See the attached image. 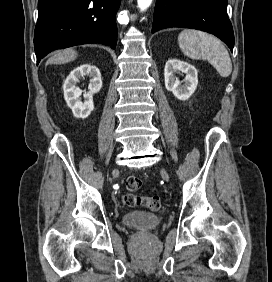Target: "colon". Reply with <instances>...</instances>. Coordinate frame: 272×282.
I'll return each mask as SVG.
<instances>
[{
	"label": "colon",
	"mask_w": 272,
	"mask_h": 282,
	"mask_svg": "<svg viewBox=\"0 0 272 282\" xmlns=\"http://www.w3.org/2000/svg\"><path fill=\"white\" fill-rule=\"evenodd\" d=\"M126 187L131 192H137L142 187L140 178L130 176L126 180ZM123 204L127 207H135L142 205L150 211H158L161 208V200L157 196H137L134 194H126L123 196Z\"/></svg>",
	"instance_id": "1"
}]
</instances>
